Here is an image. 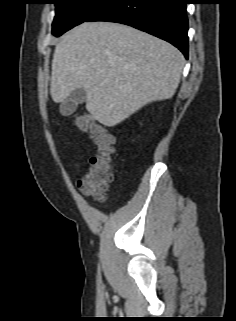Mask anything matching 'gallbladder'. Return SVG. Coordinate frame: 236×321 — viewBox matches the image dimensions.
Segmentation results:
<instances>
[{"label":"gallbladder","instance_id":"1","mask_svg":"<svg viewBox=\"0 0 236 321\" xmlns=\"http://www.w3.org/2000/svg\"><path fill=\"white\" fill-rule=\"evenodd\" d=\"M87 99V93L84 88L73 90L68 99L61 103L59 110L63 116H69L76 111L79 104H82Z\"/></svg>","mask_w":236,"mask_h":321}]
</instances>
